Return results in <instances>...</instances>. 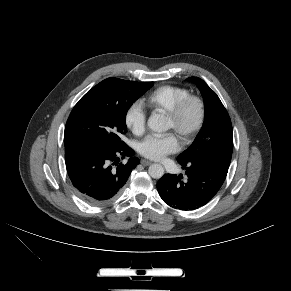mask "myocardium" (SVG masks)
Here are the masks:
<instances>
[{
    "label": "myocardium",
    "mask_w": 291,
    "mask_h": 291,
    "mask_svg": "<svg viewBox=\"0 0 291 291\" xmlns=\"http://www.w3.org/2000/svg\"><path fill=\"white\" fill-rule=\"evenodd\" d=\"M195 105L197 108V119L193 127L187 132H177L183 144L191 143L202 129L206 118V106L204 100L197 95H189L179 101L166 115L175 124L178 123L185 110Z\"/></svg>",
    "instance_id": "myocardium-1"
}]
</instances>
